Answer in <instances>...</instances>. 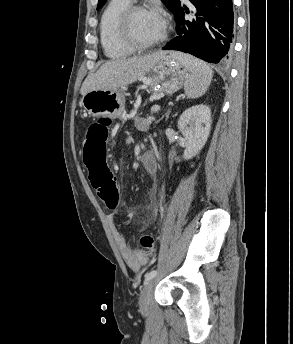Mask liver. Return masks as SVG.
Instances as JSON below:
<instances>
[{"label": "liver", "mask_w": 293, "mask_h": 344, "mask_svg": "<svg viewBox=\"0 0 293 344\" xmlns=\"http://www.w3.org/2000/svg\"><path fill=\"white\" fill-rule=\"evenodd\" d=\"M165 55L167 52L158 51L144 56L108 61L95 73L87 76L80 93L84 96L93 90H116L132 84L149 72Z\"/></svg>", "instance_id": "obj_1"}]
</instances>
